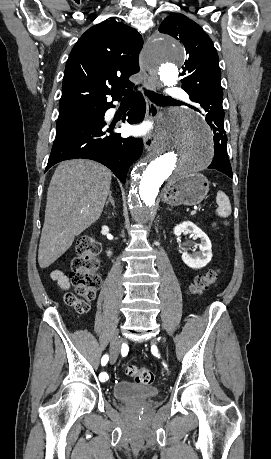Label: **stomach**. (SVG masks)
Listing matches in <instances>:
<instances>
[{
	"label": "stomach",
	"instance_id": "1",
	"mask_svg": "<svg viewBox=\"0 0 271 459\" xmlns=\"http://www.w3.org/2000/svg\"><path fill=\"white\" fill-rule=\"evenodd\" d=\"M209 192V182L202 174H188L168 180L162 190L163 202L170 206H196Z\"/></svg>",
	"mask_w": 271,
	"mask_h": 459
}]
</instances>
